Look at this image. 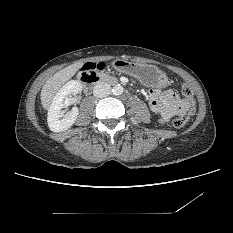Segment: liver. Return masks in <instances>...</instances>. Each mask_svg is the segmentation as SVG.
Masks as SVG:
<instances>
[{"label": "liver", "instance_id": "liver-1", "mask_svg": "<svg viewBox=\"0 0 233 233\" xmlns=\"http://www.w3.org/2000/svg\"><path fill=\"white\" fill-rule=\"evenodd\" d=\"M82 66V62L71 64L55 73L46 81L42 87L40 95L41 104L45 110L50 108L55 95L62 87V85L71 79Z\"/></svg>", "mask_w": 233, "mask_h": 233}]
</instances>
